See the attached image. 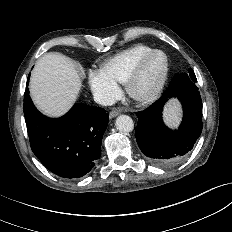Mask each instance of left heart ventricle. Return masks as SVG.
I'll list each match as a JSON object with an SVG mask.
<instances>
[{"label": "left heart ventricle", "instance_id": "1", "mask_svg": "<svg viewBox=\"0 0 232 232\" xmlns=\"http://www.w3.org/2000/svg\"><path fill=\"white\" fill-rule=\"evenodd\" d=\"M163 66L161 56L153 57L146 65L141 77L139 78L136 89L139 92L149 89L157 80Z\"/></svg>", "mask_w": 232, "mask_h": 232}]
</instances>
